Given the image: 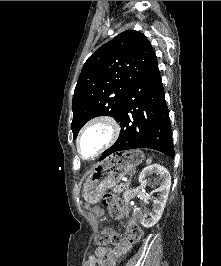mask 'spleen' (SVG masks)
<instances>
[{
    "instance_id": "3e777b00",
    "label": "spleen",
    "mask_w": 221,
    "mask_h": 266,
    "mask_svg": "<svg viewBox=\"0 0 221 266\" xmlns=\"http://www.w3.org/2000/svg\"><path fill=\"white\" fill-rule=\"evenodd\" d=\"M151 161H152L151 159H148V160H147V163H151Z\"/></svg>"
}]
</instances>
